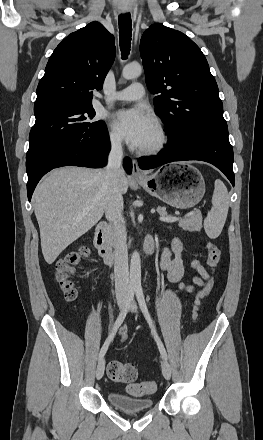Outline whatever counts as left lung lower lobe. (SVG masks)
<instances>
[{"label": "left lung lower lobe", "instance_id": "left-lung-lower-lobe-1", "mask_svg": "<svg viewBox=\"0 0 263 440\" xmlns=\"http://www.w3.org/2000/svg\"><path fill=\"white\" fill-rule=\"evenodd\" d=\"M233 159L228 129L223 128L204 134L197 144L187 150L180 149L170 137L169 143L158 155L141 157L138 164L142 170H147L174 161H205L220 169L234 186Z\"/></svg>", "mask_w": 263, "mask_h": 440}]
</instances>
